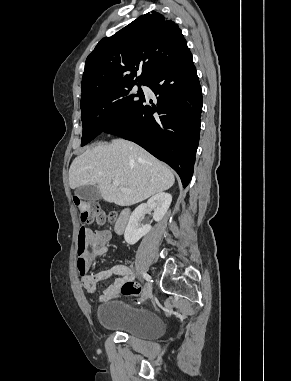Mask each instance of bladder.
<instances>
[{
	"instance_id": "bladder-1",
	"label": "bladder",
	"mask_w": 291,
	"mask_h": 381,
	"mask_svg": "<svg viewBox=\"0 0 291 381\" xmlns=\"http://www.w3.org/2000/svg\"><path fill=\"white\" fill-rule=\"evenodd\" d=\"M99 325L109 331L152 340L165 331L163 319L146 308H135L129 303L111 301L101 304L97 311Z\"/></svg>"
}]
</instances>
